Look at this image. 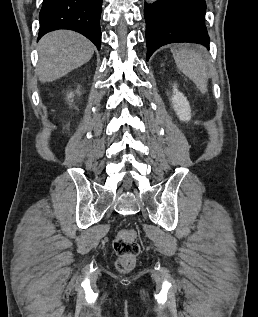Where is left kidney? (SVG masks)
<instances>
[{
	"label": "left kidney",
	"instance_id": "left-kidney-1",
	"mask_svg": "<svg viewBox=\"0 0 258 317\" xmlns=\"http://www.w3.org/2000/svg\"><path fill=\"white\" fill-rule=\"evenodd\" d=\"M173 108L176 110L180 120H190L191 118V108L190 104L184 96L183 92H179L177 86L173 88V96L171 98Z\"/></svg>",
	"mask_w": 258,
	"mask_h": 317
}]
</instances>
